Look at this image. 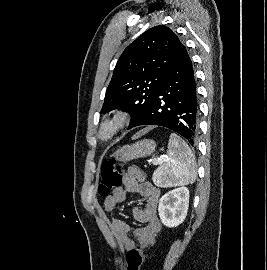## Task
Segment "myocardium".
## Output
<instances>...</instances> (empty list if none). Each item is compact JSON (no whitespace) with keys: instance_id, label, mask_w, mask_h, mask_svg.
Instances as JSON below:
<instances>
[{"instance_id":"f54148a6","label":"myocardium","mask_w":267,"mask_h":270,"mask_svg":"<svg viewBox=\"0 0 267 270\" xmlns=\"http://www.w3.org/2000/svg\"><path fill=\"white\" fill-rule=\"evenodd\" d=\"M129 114L122 109H116L105 115L99 123L97 137L104 142L116 137L129 123Z\"/></svg>"}]
</instances>
